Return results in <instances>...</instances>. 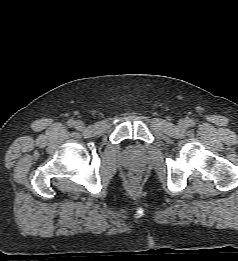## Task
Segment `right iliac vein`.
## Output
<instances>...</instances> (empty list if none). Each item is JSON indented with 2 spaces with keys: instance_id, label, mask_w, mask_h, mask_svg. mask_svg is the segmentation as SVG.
Here are the masks:
<instances>
[{
  "instance_id": "63e3f726",
  "label": "right iliac vein",
  "mask_w": 238,
  "mask_h": 261,
  "mask_svg": "<svg viewBox=\"0 0 238 261\" xmlns=\"http://www.w3.org/2000/svg\"><path fill=\"white\" fill-rule=\"evenodd\" d=\"M74 126L77 130H83L85 128L84 122L80 120L76 121Z\"/></svg>"
}]
</instances>
